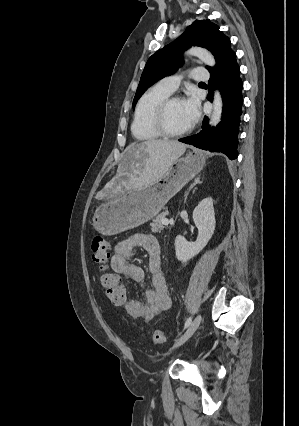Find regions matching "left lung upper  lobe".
I'll return each mask as SVG.
<instances>
[{"mask_svg": "<svg viewBox=\"0 0 299 426\" xmlns=\"http://www.w3.org/2000/svg\"><path fill=\"white\" fill-rule=\"evenodd\" d=\"M230 39L210 20H196L173 43L163 47L147 61L133 100V107L141 95L158 80L173 74L183 65L182 52L196 45L211 51L216 62L228 50ZM207 69L211 67L206 66Z\"/></svg>", "mask_w": 299, "mask_h": 426, "instance_id": "obj_1", "label": "left lung upper lobe"}]
</instances>
